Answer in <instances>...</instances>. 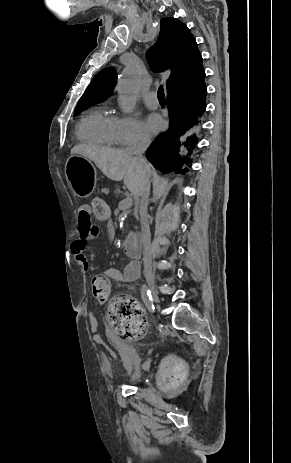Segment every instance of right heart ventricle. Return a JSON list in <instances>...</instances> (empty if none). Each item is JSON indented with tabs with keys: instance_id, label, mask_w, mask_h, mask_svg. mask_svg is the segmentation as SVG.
I'll list each match as a JSON object with an SVG mask.
<instances>
[{
	"instance_id": "obj_1",
	"label": "right heart ventricle",
	"mask_w": 291,
	"mask_h": 463,
	"mask_svg": "<svg viewBox=\"0 0 291 463\" xmlns=\"http://www.w3.org/2000/svg\"><path fill=\"white\" fill-rule=\"evenodd\" d=\"M76 136L83 143L101 146L118 145L116 117L104 107L91 110L80 119Z\"/></svg>"
}]
</instances>
